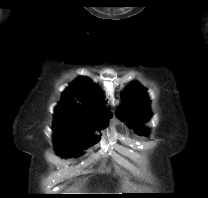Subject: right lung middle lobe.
<instances>
[{
    "mask_svg": "<svg viewBox=\"0 0 208 198\" xmlns=\"http://www.w3.org/2000/svg\"><path fill=\"white\" fill-rule=\"evenodd\" d=\"M105 126V120L95 123L74 118H55L53 141L57 154L61 157L82 154L83 150L98 140L92 133Z\"/></svg>",
    "mask_w": 208,
    "mask_h": 198,
    "instance_id": "right-lung-middle-lobe-1",
    "label": "right lung middle lobe"
}]
</instances>
